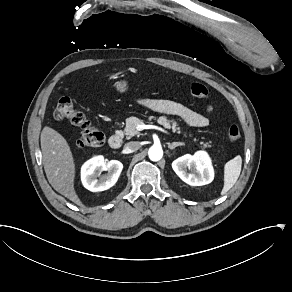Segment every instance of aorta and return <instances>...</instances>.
Returning a JSON list of instances; mask_svg holds the SVG:
<instances>
[{
	"label": "aorta",
	"mask_w": 292,
	"mask_h": 292,
	"mask_svg": "<svg viewBox=\"0 0 292 292\" xmlns=\"http://www.w3.org/2000/svg\"><path fill=\"white\" fill-rule=\"evenodd\" d=\"M163 157V150L159 146H152L149 150V158L151 161H160Z\"/></svg>",
	"instance_id": "762f6f07"
}]
</instances>
